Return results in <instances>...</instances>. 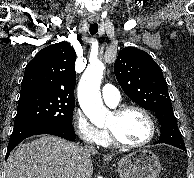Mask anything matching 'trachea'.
Listing matches in <instances>:
<instances>
[{
    "instance_id": "trachea-1",
    "label": "trachea",
    "mask_w": 194,
    "mask_h": 178,
    "mask_svg": "<svg viewBox=\"0 0 194 178\" xmlns=\"http://www.w3.org/2000/svg\"><path fill=\"white\" fill-rule=\"evenodd\" d=\"M89 31L91 35H95L98 32V24L97 23L91 24Z\"/></svg>"
}]
</instances>
